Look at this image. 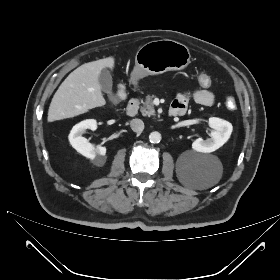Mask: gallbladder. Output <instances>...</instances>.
<instances>
[{
    "mask_svg": "<svg viewBox=\"0 0 280 280\" xmlns=\"http://www.w3.org/2000/svg\"><path fill=\"white\" fill-rule=\"evenodd\" d=\"M98 80H99L102 91L107 94L109 101H111L112 103H118L119 98L112 91L113 83H112V76L110 74V71L108 69L104 68L101 71V73L99 74Z\"/></svg>",
    "mask_w": 280,
    "mask_h": 280,
    "instance_id": "gallbladder-1",
    "label": "gallbladder"
}]
</instances>
